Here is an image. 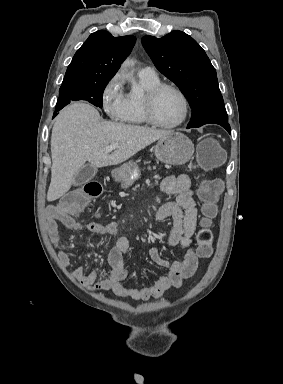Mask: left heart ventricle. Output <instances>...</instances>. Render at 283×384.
I'll return each mask as SVG.
<instances>
[{
	"label": "left heart ventricle",
	"instance_id": "1",
	"mask_svg": "<svg viewBox=\"0 0 283 384\" xmlns=\"http://www.w3.org/2000/svg\"><path fill=\"white\" fill-rule=\"evenodd\" d=\"M183 113L182 101L171 90L162 91L155 99L153 114L158 122L170 125L177 122Z\"/></svg>",
	"mask_w": 283,
	"mask_h": 384
}]
</instances>
